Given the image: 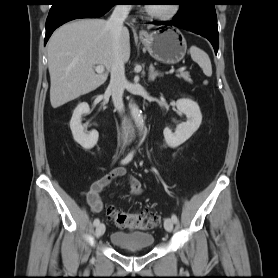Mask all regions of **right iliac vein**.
Masks as SVG:
<instances>
[{"mask_svg":"<svg viewBox=\"0 0 278 278\" xmlns=\"http://www.w3.org/2000/svg\"><path fill=\"white\" fill-rule=\"evenodd\" d=\"M105 232V225L103 223L99 224L96 227V237L99 238L101 237Z\"/></svg>","mask_w":278,"mask_h":278,"instance_id":"63e3f726","label":"right iliac vein"}]
</instances>
